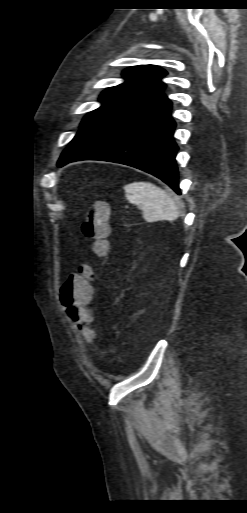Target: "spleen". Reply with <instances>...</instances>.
Wrapping results in <instances>:
<instances>
[{"label": "spleen", "mask_w": 247, "mask_h": 513, "mask_svg": "<svg viewBox=\"0 0 247 513\" xmlns=\"http://www.w3.org/2000/svg\"><path fill=\"white\" fill-rule=\"evenodd\" d=\"M127 200L143 211L147 222L174 220L179 210L171 196L150 182H132L124 187Z\"/></svg>", "instance_id": "spleen-1"}]
</instances>
